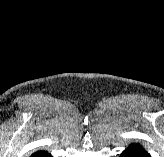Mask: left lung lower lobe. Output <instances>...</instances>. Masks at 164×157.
<instances>
[{"mask_svg":"<svg viewBox=\"0 0 164 157\" xmlns=\"http://www.w3.org/2000/svg\"><path fill=\"white\" fill-rule=\"evenodd\" d=\"M120 157H151L141 145L131 144L127 149H125Z\"/></svg>","mask_w":164,"mask_h":157,"instance_id":"0a47b994","label":"left lung lower lobe"}]
</instances>
